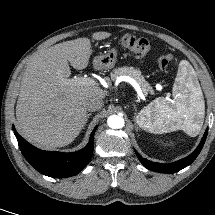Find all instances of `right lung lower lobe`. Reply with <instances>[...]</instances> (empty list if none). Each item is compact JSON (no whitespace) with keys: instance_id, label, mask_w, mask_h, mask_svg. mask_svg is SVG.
Masks as SVG:
<instances>
[{"instance_id":"98d812e1","label":"right lung lower lobe","mask_w":215,"mask_h":215,"mask_svg":"<svg viewBox=\"0 0 215 215\" xmlns=\"http://www.w3.org/2000/svg\"><path fill=\"white\" fill-rule=\"evenodd\" d=\"M96 129L97 126L92 131L87 146L72 153L43 151L28 143L17 132L15 136L23 156L38 172L54 178H64L79 173L90 161Z\"/></svg>"}]
</instances>
